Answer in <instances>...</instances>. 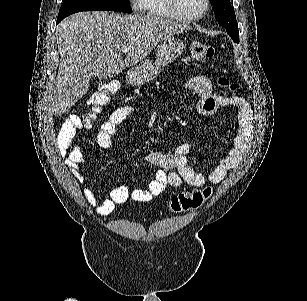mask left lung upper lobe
Segmentation results:
<instances>
[{
  "label": "left lung upper lobe",
  "instance_id": "5c2ea615",
  "mask_svg": "<svg viewBox=\"0 0 307 301\" xmlns=\"http://www.w3.org/2000/svg\"><path fill=\"white\" fill-rule=\"evenodd\" d=\"M213 5V11L216 20L222 25L230 37L239 43V31L235 12L231 6L230 0H210Z\"/></svg>",
  "mask_w": 307,
  "mask_h": 301
}]
</instances>
